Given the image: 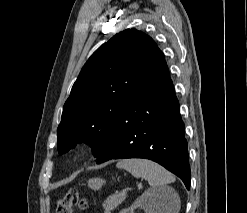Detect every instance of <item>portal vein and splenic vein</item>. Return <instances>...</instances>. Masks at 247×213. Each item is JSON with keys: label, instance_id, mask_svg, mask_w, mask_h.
<instances>
[{"label": "portal vein and splenic vein", "instance_id": "portal-vein-and-splenic-vein-1", "mask_svg": "<svg viewBox=\"0 0 247 213\" xmlns=\"http://www.w3.org/2000/svg\"><path fill=\"white\" fill-rule=\"evenodd\" d=\"M126 194H127V190H122V191L120 192V195L125 196Z\"/></svg>", "mask_w": 247, "mask_h": 213}]
</instances>
